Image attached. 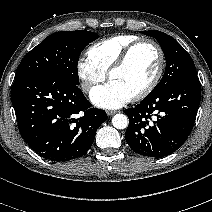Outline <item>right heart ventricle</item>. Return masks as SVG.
Returning <instances> with one entry per match:
<instances>
[{"instance_id": "1", "label": "right heart ventricle", "mask_w": 212, "mask_h": 212, "mask_svg": "<svg viewBox=\"0 0 212 212\" xmlns=\"http://www.w3.org/2000/svg\"><path fill=\"white\" fill-rule=\"evenodd\" d=\"M139 37L132 34H118L102 39L87 50L89 60L107 73L122 52Z\"/></svg>"}]
</instances>
